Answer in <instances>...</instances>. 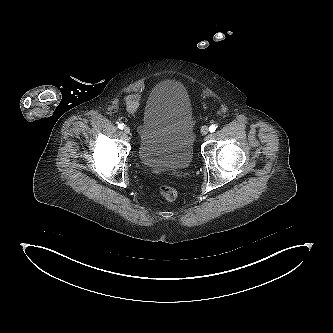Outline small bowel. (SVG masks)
Here are the masks:
<instances>
[{
  "label": "small bowel",
  "instance_id": "c3829d8e",
  "mask_svg": "<svg viewBox=\"0 0 333 333\" xmlns=\"http://www.w3.org/2000/svg\"><path fill=\"white\" fill-rule=\"evenodd\" d=\"M139 98L138 94L130 95L125 99L126 109L129 113H134L139 105Z\"/></svg>",
  "mask_w": 333,
  "mask_h": 333
}]
</instances>
